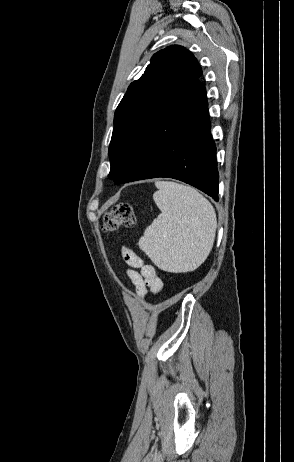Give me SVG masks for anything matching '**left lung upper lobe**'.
Instances as JSON below:
<instances>
[{"instance_id":"5c2ea615","label":"left lung upper lobe","mask_w":294,"mask_h":462,"mask_svg":"<svg viewBox=\"0 0 294 462\" xmlns=\"http://www.w3.org/2000/svg\"><path fill=\"white\" fill-rule=\"evenodd\" d=\"M202 75L194 55L182 46L160 50L150 60L144 74L132 82L114 116V130L109 146L113 179L155 109L179 97L188 83Z\"/></svg>"}]
</instances>
